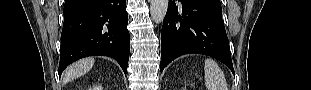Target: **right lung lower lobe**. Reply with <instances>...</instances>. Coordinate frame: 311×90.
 Masks as SVG:
<instances>
[{
	"label": "right lung lower lobe",
	"mask_w": 311,
	"mask_h": 90,
	"mask_svg": "<svg viewBox=\"0 0 311 90\" xmlns=\"http://www.w3.org/2000/svg\"><path fill=\"white\" fill-rule=\"evenodd\" d=\"M59 76L72 62L104 55L126 74L130 53L126 0H66L63 10Z\"/></svg>",
	"instance_id": "98d812e1"
}]
</instances>
